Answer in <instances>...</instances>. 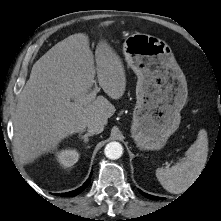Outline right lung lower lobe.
Returning <instances> with one entry per match:
<instances>
[{
	"label": "right lung lower lobe",
	"mask_w": 221,
	"mask_h": 221,
	"mask_svg": "<svg viewBox=\"0 0 221 221\" xmlns=\"http://www.w3.org/2000/svg\"><path fill=\"white\" fill-rule=\"evenodd\" d=\"M89 182H90V178L84 183L83 186L79 187L78 189L68 192V193H62V194H58V195L66 196V197L75 196V195L79 194L81 191H83L84 188L89 184Z\"/></svg>",
	"instance_id": "obj_1"
}]
</instances>
